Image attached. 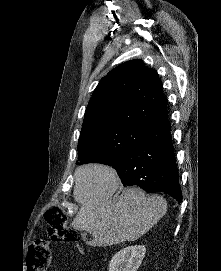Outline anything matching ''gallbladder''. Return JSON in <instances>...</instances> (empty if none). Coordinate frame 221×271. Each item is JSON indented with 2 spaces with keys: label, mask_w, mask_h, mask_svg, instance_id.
Returning a JSON list of instances; mask_svg holds the SVG:
<instances>
[{
  "label": "gallbladder",
  "mask_w": 221,
  "mask_h": 271,
  "mask_svg": "<svg viewBox=\"0 0 221 271\" xmlns=\"http://www.w3.org/2000/svg\"><path fill=\"white\" fill-rule=\"evenodd\" d=\"M80 235H81L83 241H86L87 235H88L87 231H84V229H80Z\"/></svg>",
  "instance_id": "obj_1"
}]
</instances>
